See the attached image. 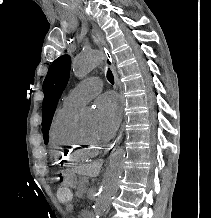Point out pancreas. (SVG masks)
I'll return each mask as SVG.
<instances>
[{
	"mask_svg": "<svg viewBox=\"0 0 211 218\" xmlns=\"http://www.w3.org/2000/svg\"><path fill=\"white\" fill-rule=\"evenodd\" d=\"M83 187H86L85 184H79V188H77L78 192H75L76 196L79 194L84 195L86 192H83Z\"/></svg>",
	"mask_w": 211,
	"mask_h": 218,
	"instance_id": "cf45deb5",
	"label": "pancreas"
}]
</instances>
